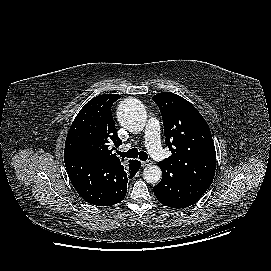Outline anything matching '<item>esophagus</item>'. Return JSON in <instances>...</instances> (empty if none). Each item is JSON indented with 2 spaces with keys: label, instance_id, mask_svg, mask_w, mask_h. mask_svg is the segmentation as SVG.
I'll return each instance as SVG.
<instances>
[{
  "label": "esophagus",
  "instance_id": "1",
  "mask_svg": "<svg viewBox=\"0 0 271 271\" xmlns=\"http://www.w3.org/2000/svg\"><path fill=\"white\" fill-rule=\"evenodd\" d=\"M151 164H152V163H151L150 160L144 161V162L141 163L142 167H146V166H149V165H151Z\"/></svg>",
  "mask_w": 271,
  "mask_h": 271
}]
</instances>
